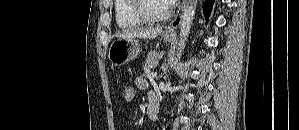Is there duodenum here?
Returning a JSON list of instances; mask_svg holds the SVG:
<instances>
[{
  "label": "duodenum",
  "mask_w": 299,
  "mask_h": 130,
  "mask_svg": "<svg viewBox=\"0 0 299 130\" xmlns=\"http://www.w3.org/2000/svg\"><path fill=\"white\" fill-rule=\"evenodd\" d=\"M147 112H148L149 120L154 121L157 119L159 114V103L158 100L153 95L149 97L148 104H147Z\"/></svg>",
  "instance_id": "1"
}]
</instances>
